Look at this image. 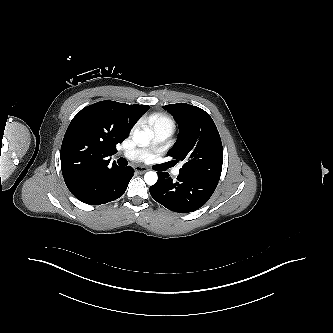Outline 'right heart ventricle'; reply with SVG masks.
Returning <instances> with one entry per match:
<instances>
[{"label": "right heart ventricle", "mask_w": 333, "mask_h": 333, "mask_svg": "<svg viewBox=\"0 0 333 333\" xmlns=\"http://www.w3.org/2000/svg\"><path fill=\"white\" fill-rule=\"evenodd\" d=\"M150 123L152 125L153 128L159 126V125H163V124H170L173 125L172 120L164 115H154L150 118Z\"/></svg>", "instance_id": "1"}]
</instances>
